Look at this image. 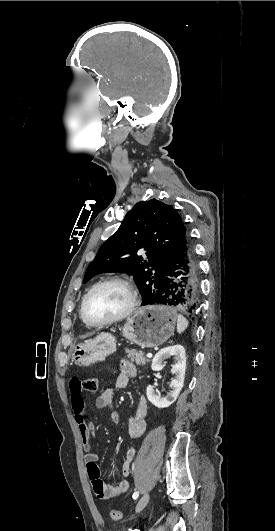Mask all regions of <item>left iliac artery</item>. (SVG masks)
Returning a JSON list of instances; mask_svg holds the SVG:
<instances>
[{"label":"left iliac artery","mask_w":275,"mask_h":531,"mask_svg":"<svg viewBox=\"0 0 275 531\" xmlns=\"http://www.w3.org/2000/svg\"><path fill=\"white\" fill-rule=\"evenodd\" d=\"M138 496H139V492L138 491L133 493V499L134 500H136L138 498Z\"/></svg>","instance_id":"44dca946"}]
</instances>
